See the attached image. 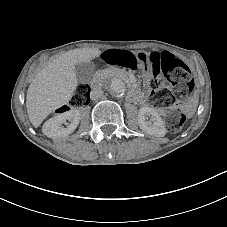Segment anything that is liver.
Wrapping results in <instances>:
<instances>
[{
  "mask_svg": "<svg viewBox=\"0 0 227 227\" xmlns=\"http://www.w3.org/2000/svg\"><path fill=\"white\" fill-rule=\"evenodd\" d=\"M97 48H76L42 68L30 83L26 108L31 124L38 128L49 114L68 105L78 86L75 67L98 57Z\"/></svg>",
  "mask_w": 227,
  "mask_h": 227,
  "instance_id": "liver-1",
  "label": "liver"
}]
</instances>
